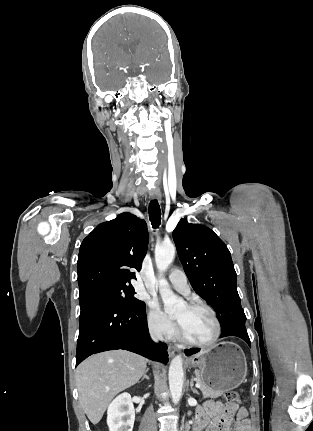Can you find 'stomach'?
<instances>
[{
  "label": "stomach",
  "instance_id": "1",
  "mask_svg": "<svg viewBox=\"0 0 313 431\" xmlns=\"http://www.w3.org/2000/svg\"><path fill=\"white\" fill-rule=\"evenodd\" d=\"M196 368L198 378L209 388L226 392L240 386L247 375V363L242 349L233 342H222L202 350L187 361Z\"/></svg>",
  "mask_w": 313,
  "mask_h": 431
}]
</instances>
